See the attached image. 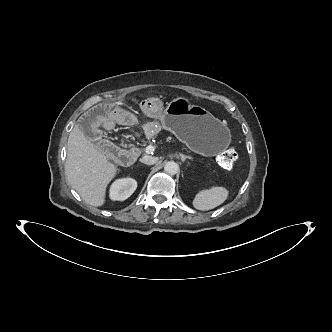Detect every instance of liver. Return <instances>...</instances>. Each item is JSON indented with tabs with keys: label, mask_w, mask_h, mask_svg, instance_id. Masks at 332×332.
Listing matches in <instances>:
<instances>
[{
	"label": "liver",
	"mask_w": 332,
	"mask_h": 332,
	"mask_svg": "<svg viewBox=\"0 0 332 332\" xmlns=\"http://www.w3.org/2000/svg\"><path fill=\"white\" fill-rule=\"evenodd\" d=\"M65 172L82 199L99 207L105 203L106 188L116 176L117 168L76 125L68 138Z\"/></svg>",
	"instance_id": "6515ba94"
}]
</instances>
